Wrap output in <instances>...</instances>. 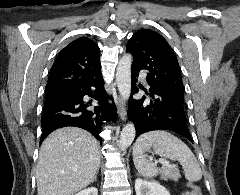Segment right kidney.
Returning <instances> with one entry per match:
<instances>
[{"mask_svg":"<svg viewBox=\"0 0 240 195\" xmlns=\"http://www.w3.org/2000/svg\"><path fill=\"white\" fill-rule=\"evenodd\" d=\"M75 195H98L97 187H88V189H82V191H78Z\"/></svg>","mask_w":240,"mask_h":195,"instance_id":"ca27d5eb","label":"right kidney"}]
</instances>
